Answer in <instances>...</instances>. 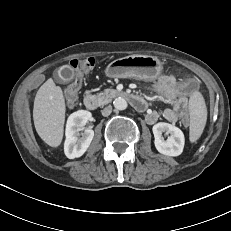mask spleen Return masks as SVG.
Listing matches in <instances>:
<instances>
[{"mask_svg": "<svg viewBox=\"0 0 231 231\" xmlns=\"http://www.w3.org/2000/svg\"><path fill=\"white\" fill-rule=\"evenodd\" d=\"M190 111V141L198 140L204 130L207 120V109L203 96L199 92L193 93L189 102Z\"/></svg>", "mask_w": 231, "mask_h": 231, "instance_id": "3e777b00", "label": "spleen"}]
</instances>
